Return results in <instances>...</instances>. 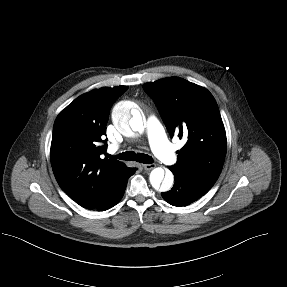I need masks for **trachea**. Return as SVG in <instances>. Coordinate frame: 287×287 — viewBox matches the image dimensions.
<instances>
[{
  "label": "trachea",
  "instance_id": "obj_1",
  "mask_svg": "<svg viewBox=\"0 0 287 287\" xmlns=\"http://www.w3.org/2000/svg\"><path fill=\"white\" fill-rule=\"evenodd\" d=\"M120 160L137 161L144 164L152 163V157L144 153H135L133 151L123 152L116 156Z\"/></svg>",
  "mask_w": 287,
  "mask_h": 287
}]
</instances>
